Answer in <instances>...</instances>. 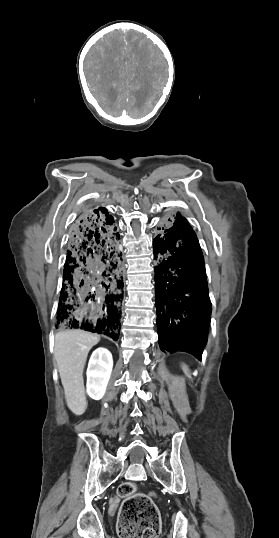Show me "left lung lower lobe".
Listing matches in <instances>:
<instances>
[{
    "instance_id": "left-lung-lower-lobe-1",
    "label": "left lung lower lobe",
    "mask_w": 279,
    "mask_h": 538,
    "mask_svg": "<svg viewBox=\"0 0 279 538\" xmlns=\"http://www.w3.org/2000/svg\"><path fill=\"white\" fill-rule=\"evenodd\" d=\"M158 342L162 351L201 360L211 315L203 254L182 216L153 240Z\"/></svg>"
}]
</instances>
